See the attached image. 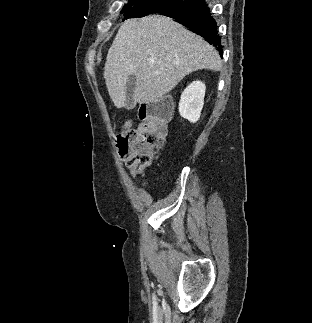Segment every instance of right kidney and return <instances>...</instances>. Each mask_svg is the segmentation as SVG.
Masks as SVG:
<instances>
[{
    "label": "right kidney",
    "mask_w": 312,
    "mask_h": 323,
    "mask_svg": "<svg viewBox=\"0 0 312 323\" xmlns=\"http://www.w3.org/2000/svg\"><path fill=\"white\" fill-rule=\"evenodd\" d=\"M206 86L203 82H192L187 88H185L183 94H181V100L179 102V112L182 118H186L192 124L198 122L201 116V110L204 106Z\"/></svg>",
    "instance_id": "obj_1"
}]
</instances>
